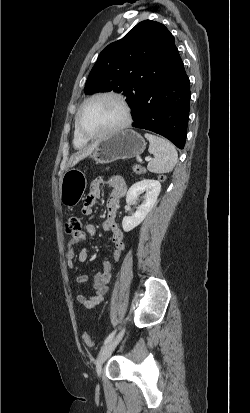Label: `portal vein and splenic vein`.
<instances>
[{"label": "portal vein and splenic vein", "instance_id": "18ae733b", "mask_svg": "<svg viewBox=\"0 0 250 413\" xmlns=\"http://www.w3.org/2000/svg\"><path fill=\"white\" fill-rule=\"evenodd\" d=\"M145 160H146V161H150V160H151V158L147 157V158H145Z\"/></svg>", "mask_w": 250, "mask_h": 413}]
</instances>
